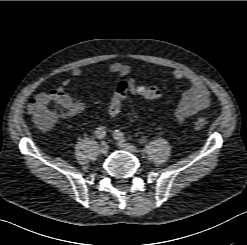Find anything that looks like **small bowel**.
<instances>
[{
  "mask_svg": "<svg viewBox=\"0 0 247 245\" xmlns=\"http://www.w3.org/2000/svg\"><path fill=\"white\" fill-rule=\"evenodd\" d=\"M108 71L117 76L124 78L128 76L131 69L123 63H112L108 67ZM168 74L176 79L184 80L188 84V88L182 94L175 108V117L178 121L183 122L188 117L211 108L210 93L204 82L193 72L180 68H172L167 71ZM73 77H79L82 74L81 67H74L71 70ZM71 80L65 79L60 87L50 90L49 94H60L67 101L65 116L71 117L81 114L85 110V103L81 100H73L65 89L70 86ZM44 94V93H43ZM42 95V94H39Z\"/></svg>",
  "mask_w": 247,
  "mask_h": 245,
  "instance_id": "small-bowel-1",
  "label": "small bowel"
}]
</instances>
